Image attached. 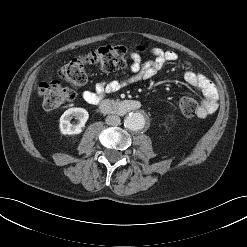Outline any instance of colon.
<instances>
[{
    "label": "colon",
    "instance_id": "5ec220e1",
    "mask_svg": "<svg viewBox=\"0 0 247 247\" xmlns=\"http://www.w3.org/2000/svg\"><path fill=\"white\" fill-rule=\"evenodd\" d=\"M142 52L137 48L135 53L121 46H102L82 56L71 59L58 70L59 80L42 82L38 86V94L46 109H55L76 98V88L87 82L89 66L104 72H112L122 68L126 63ZM61 81L70 86H63ZM179 109L185 116H194L198 111V102L192 97H184L179 102Z\"/></svg>",
    "mask_w": 247,
    "mask_h": 247
}]
</instances>
